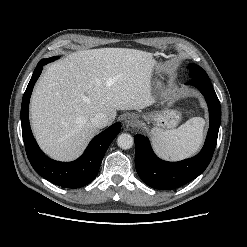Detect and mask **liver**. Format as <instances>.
Wrapping results in <instances>:
<instances>
[{
    "label": "liver",
    "instance_id": "liver-1",
    "mask_svg": "<svg viewBox=\"0 0 247 247\" xmlns=\"http://www.w3.org/2000/svg\"><path fill=\"white\" fill-rule=\"evenodd\" d=\"M151 53L128 48L78 51L53 63L31 98V126L51 158L79 157L98 133L91 119L104 113L113 123L117 110L143 109L152 103Z\"/></svg>",
    "mask_w": 247,
    "mask_h": 247
}]
</instances>
